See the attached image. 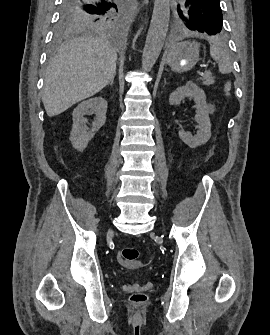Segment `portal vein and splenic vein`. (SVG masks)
<instances>
[{
  "label": "portal vein and splenic vein",
  "mask_w": 270,
  "mask_h": 335,
  "mask_svg": "<svg viewBox=\"0 0 270 335\" xmlns=\"http://www.w3.org/2000/svg\"><path fill=\"white\" fill-rule=\"evenodd\" d=\"M207 66H209V63H203L202 68L205 69ZM200 73L203 75L205 72L202 70ZM198 74H199V72H198Z\"/></svg>",
  "instance_id": "portal-vein-and-splenic-vein-1"
}]
</instances>
